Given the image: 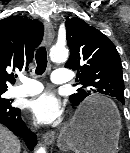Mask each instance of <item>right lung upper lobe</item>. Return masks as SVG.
<instances>
[{
	"label": "right lung upper lobe",
	"mask_w": 130,
	"mask_h": 153,
	"mask_svg": "<svg viewBox=\"0 0 130 153\" xmlns=\"http://www.w3.org/2000/svg\"><path fill=\"white\" fill-rule=\"evenodd\" d=\"M44 26L38 20L10 16L0 20V91L14 83L13 69L27 70L34 49L42 41Z\"/></svg>",
	"instance_id": "1"
}]
</instances>
